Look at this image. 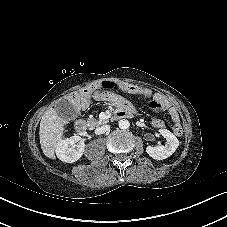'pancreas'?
I'll list each match as a JSON object with an SVG mask.
<instances>
[{
  "instance_id": "1",
  "label": "pancreas",
  "mask_w": 227,
  "mask_h": 227,
  "mask_svg": "<svg viewBox=\"0 0 227 227\" xmlns=\"http://www.w3.org/2000/svg\"><path fill=\"white\" fill-rule=\"evenodd\" d=\"M99 124H100V122L99 123L91 122V127L94 128L95 126H98Z\"/></svg>"
}]
</instances>
